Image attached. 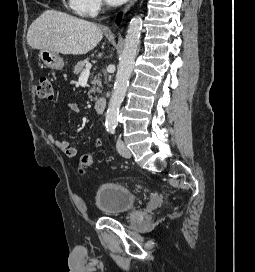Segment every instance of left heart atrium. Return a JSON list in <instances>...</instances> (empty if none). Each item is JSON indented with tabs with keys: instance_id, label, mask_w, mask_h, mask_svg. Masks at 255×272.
<instances>
[{
	"instance_id": "obj_1",
	"label": "left heart atrium",
	"mask_w": 255,
	"mask_h": 272,
	"mask_svg": "<svg viewBox=\"0 0 255 272\" xmlns=\"http://www.w3.org/2000/svg\"><path fill=\"white\" fill-rule=\"evenodd\" d=\"M125 0H106V2L110 5H119L122 2H124Z\"/></svg>"
}]
</instances>
